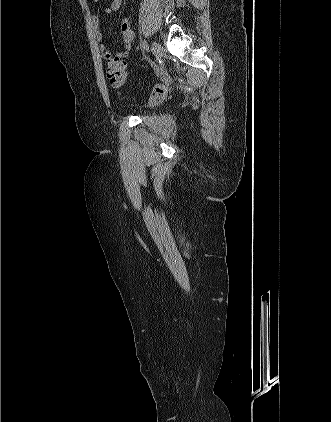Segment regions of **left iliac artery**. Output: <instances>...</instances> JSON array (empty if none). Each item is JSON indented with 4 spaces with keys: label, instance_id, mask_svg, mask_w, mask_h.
Listing matches in <instances>:
<instances>
[{
    "label": "left iliac artery",
    "instance_id": "obj_1",
    "mask_svg": "<svg viewBox=\"0 0 331 422\" xmlns=\"http://www.w3.org/2000/svg\"><path fill=\"white\" fill-rule=\"evenodd\" d=\"M142 46H143V48H144L145 50H147V51H148V44H147L146 40H144V41L142 42Z\"/></svg>",
    "mask_w": 331,
    "mask_h": 422
}]
</instances>
